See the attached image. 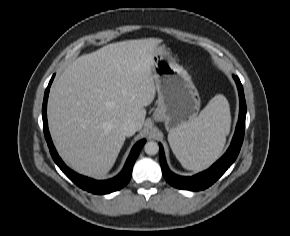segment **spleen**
<instances>
[{"mask_svg":"<svg viewBox=\"0 0 290 236\" xmlns=\"http://www.w3.org/2000/svg\"><path fill=\"white\" fill-rule=\"evenodd\" d=\"M230 123L228 101L219 94L209 101L194 120L169 133L168 141L185 169L200 171L221 155Z\"/></svg>","mask_w":290,"mask_h":236,"instance_id":"spleen-1","label":"spleen"}]
</instances>
